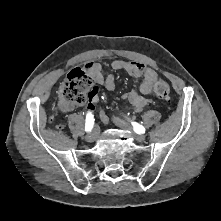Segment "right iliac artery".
<instances>
[{
  "instance_id": "1",
  "label": "right iliac artery",
  "mask_w": 221,
  "mask_h": 221,
  "mask_svg": "<svg viewBox=\"0 0 221 221\" xmlns=\"http://www.w3.org/2000/svg\"><path fill=\"white\" fill-rule=\"evenodd\" d=\"M94 126V118L91 113H88L86 115V123H85V131L86 132H91Z\"/></svg>"
}]
</instances>
